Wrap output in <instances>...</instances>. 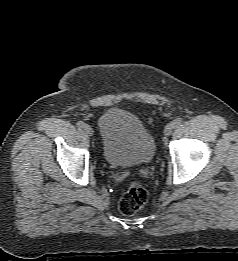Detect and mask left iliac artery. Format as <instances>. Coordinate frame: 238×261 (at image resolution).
I'll return each mask as SVG.
<instances>
[{
  "label": "left iliac artery",
  "instance_id": "44dca946",
  "mask_svg": "<svg viewBox=\"0 0 238 261\" xmlns=\"http://www.w3.org/2000/svg\"><path fill=\"white\" fill-rule=\"evenodd\" d=\"M181 122H182L181 118H177L172 123H173L174 127H178L181 124Z\"/></svg>",
  "mask_w": 238,
  "mask_h": 261
}]
</instances>
